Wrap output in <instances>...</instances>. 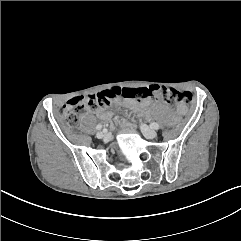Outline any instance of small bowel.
Masks as SVG:
<instances>
[{
	"instance_id": "c3829d8e",
	"label": "small bowel",
	"mask_w": 241,
	"mask_h": 241,
	"mask_svg": "<svg viewBox=\"0 0 241 241\" xmlns=\"http://www.w3.org/2000/svg\"><path fill=\"white\" fill-rule=\"evenodd\" d=\"M152 103L151 100H143V101H135L133 99H126L125 100V104L131 108H139V109H142V110H145L150 104ZM111 104V103H109ZM108 104V105H109ZM99 106H106V105H99ZM185 110L184 106L180 105L178 106V111L180 113H183ZM95 113L100 117V118H103V119H106L110 116V114L105 111L103 108L99 107V108H96L95 109Z\"/></svg>"
}]
</instances>
